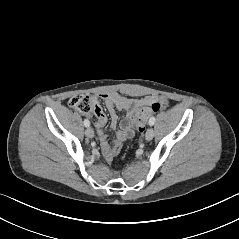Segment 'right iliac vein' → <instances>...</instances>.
Instances as JSON below:
<instances>
[{"label": "right iliac vein", "instance_id": "right-iliac-vein-1", "mask_svg": "<svg viewBox=\"0 0 239 239\" xmlns=\"http://www.w3.org/2000/svg\"><path fill=\"white\" fill-rule=\"evenodd\" d=\"M85 134L88 138L94 137V130L91 127H88L85 131Z\"/></svg>", "mask_w": 239, "mask_h": 239}]
</instances>
